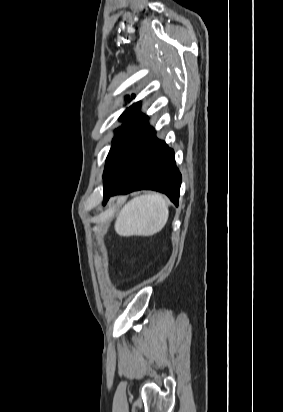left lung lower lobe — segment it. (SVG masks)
Segmentation results:
<instances>
[{
    "instance_id": "obj_1",
    "label": "left lung lower lobe",
    "mask_w": 283,
    "mask_h": 412,
    "mask_svg": "<svg viewBox=\"0 0 283 412\" xmlns=\"http://www.w3.org/2000/svg\"><path fill=\"white\" fill-rule=\"evenodd\" d=\"M122 170V161L106 160L103 204L115 194L150 189L166 194L178 205L182 177L176 167L174 151L155 134L149 149L127 179H123Z\"/></svg>"
}]
</instances>
